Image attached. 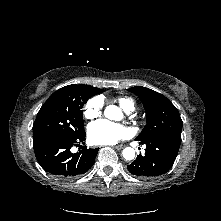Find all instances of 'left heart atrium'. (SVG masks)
<instances>
[{
  "label": "left heart atrium",
  "instance_id": "left-heart-atrium-1",
  "mask_svg": "<svg viewBox=\"0 0 221 221\" xmlns=\"http://www.w3.org/2000/svg\"><path fill=\"white\" fill-rule=\"evenodd\" d=\"M128 129L123 125L99 120L89 125L88 138L90 142L98 145L115 144L128 135Z\"/></svg>",
  "mask_w": 221,
  "mask_h": 221
}]
</instances>
